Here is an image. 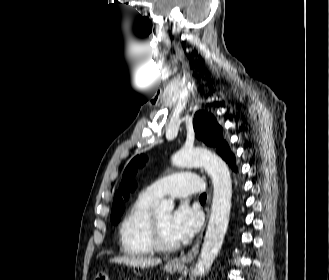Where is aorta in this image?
Segmentation results:
<instances>
[{"label": "aorta", "instance_id": "762f6f07", "mask_svg": "<svg viewBox=\"0 0 329 280\" xmlns=\"http://www.w3.org/2000/svg\"><path fill=\"white\" fill-rule=\"evenodd\" d=\"M176 167H203L212 179L213 200L200 257L194 272L204 275L217 257L227 231L232 199V181L226 163L217 155L202 149H181L172 157ZM174 208L172 200H162L155 205L159 215L170 214Z\"/></svg>", "mask_w": 329, "mask_h": 280}]
</instances>
